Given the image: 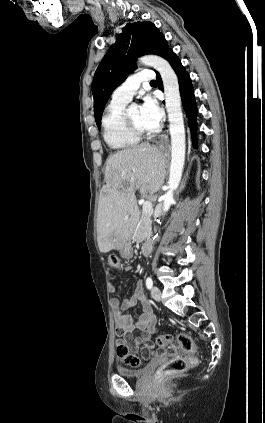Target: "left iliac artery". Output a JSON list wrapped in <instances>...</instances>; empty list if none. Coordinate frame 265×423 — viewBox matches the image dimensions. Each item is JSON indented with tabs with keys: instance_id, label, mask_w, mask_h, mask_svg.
Instances as JSON below:
<instances>
[{
	"instance_id": "obj_1",
	"label": "left iliac artery",
	"mask_w": 265,
	"mask_h": 423,
	"mask_svg": "<svg viewBox=\"0 0 265 423\" xmlns=\"http://www.w3.org/2000/svg\"><path fill=\"white\" fill-rule=\"evenodd\" d=\"M146 286H147V288L150 290L151 288H152V286H153V281H152V279L150 278V277H148L147 279H146Z\"/></svg>"
}]
</instances>
